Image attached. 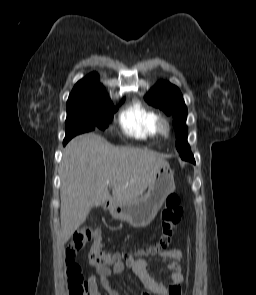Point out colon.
<instances>
[{"mask_svg": "<svg viewBox=\"0 0 256 295\" xmlns=\"http://www.w3.org/2000/svg\"><path fill=\"white\" fill-rule=\"evenodd\" d=\"M182 215L183 209L179 196L177 194L169 195L160 210V234L157 242L150 247L149 250L151 252H160L168 249L173 241ZM88 245H90L88 259L92 266L104 267L118 259L115 255L102 250L101 238L97 230L83 227L74 232L65 252L69 295H91L81 268L75 261L76 255Z\"/></svg>", "mask_w": 256, "mask_h": 295, "instance_id": "5ec220e1", "label": "colon"}]
</instances>
